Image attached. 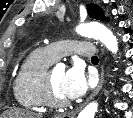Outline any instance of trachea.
<instances>
[{
    "label": "trachea",
    "mask_w": 133,
    "mask_h": 118,
    "mask_svg": "<svg viewBox=\"0 0 133 118\" xmlns=\"http://www.w3.org/2000/svg\"><path fill=\"white\" fill-rule=\"evenodd\" d=\"M91 60H92V61H98V57H97V56H93V57L91 58Z\"/></svg>",
    "instance_id": "trachea-1"
}]
</instances>
